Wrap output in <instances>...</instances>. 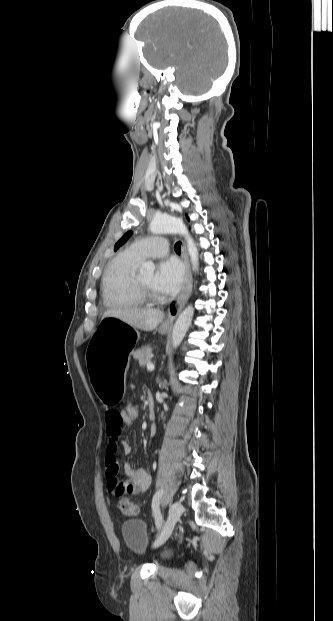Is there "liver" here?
I'll return each instance as SVG.
<instances>
[{
    "label": "liver",
    "instance_id": "6515ba94",
    "mask_svg": "<svg viewBox=\"0 0 333 621\" xmlns=\"http://www.w3.org/2000/svg\"><path fill=\"white\" fill-rule=\"evenodd\" d=\"M106 317L117 318L137 329L152 331L162 322L164 313L159 309L128 307L107 310L103 314V318Z\"/></svg>",
    "mask_w": 333,
    "mask_h": 621
}]
</instances>
